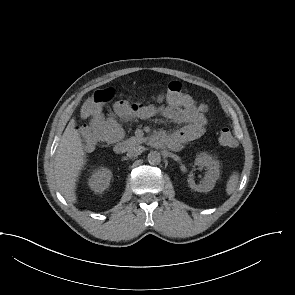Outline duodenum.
Returning <instances> with one entry per match:
<instances>
[{
  "label": "duodenum",
  "instance_id": "duodenum-1",
  "mask_svg": "<svg viewBox=\"0 0 295 295\" xmlns=\"http://www.w3.org/2000/svg\"><path fill=\"white\" fill-rule=\"evenodd\" d=\"M151 141H152L153 144L159 145V144L162 143V138L159 135H153L151 137ZM127 149H128V146L124 142H117L114 145V151L117 154H123V153H125L127 151Z\"/></svg>",
  "mask_w": 295,
  "mask_h": 295
}]
</instances>
